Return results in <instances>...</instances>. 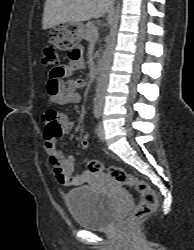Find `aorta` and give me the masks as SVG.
<instances>
[{"instance_id":"1","label":"aorta","mask_w":194,"mask_h":250,"mask_svg":"<svg viewBox=\"0 0 194 250\" xmlns=\"http://www.w3.org/2000/svg\"><path fill=\"white\" fill-rule=\"evenodd\" d=\"M120 19V3H117V6L114 10L111 27L109 31V35L106 39L105 50L103 52L99 76L97 79V86H96V94L94 98V113L99 114L102 112L104 99H105V92L108 82V75L110 70V65L112 61V56L114 53V47L116 43V36L118 32V24Z\"/></svg>"}]
</instances>
